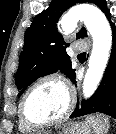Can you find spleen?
Here are the masks:
<instances>
[{"label": "spleen", "instance_id": "spleen-1", "mask_svg": "<svg viewBox=\"0 0 116 134\" xmlns=\"http://www.w3.org/2000/svg\"><path fill=\"white\" fill-rule=\"evenodd\" d=\"M88 124L93 128L95 134H107L110 123L107 117L101 115H90L87 117Z\"/></svg>", "mask_w": 116, "mask_h": 134}]
</instances>
